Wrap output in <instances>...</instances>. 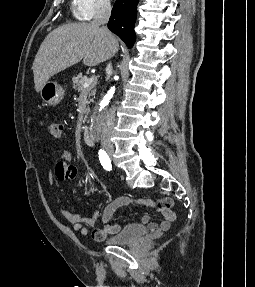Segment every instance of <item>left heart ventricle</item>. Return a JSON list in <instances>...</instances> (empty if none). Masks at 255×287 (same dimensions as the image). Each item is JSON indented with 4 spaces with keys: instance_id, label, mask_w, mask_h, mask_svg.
<instances>
[{
    "instance_id": "1",
    "label": "left heart ventricle",
    "mask_w": 255,
    "mask_h": 287,
    "mask_svg": "<svg viewBox=\"0 0 255 287\" xmlns=\"http://www.w3.org/2000/svg\"><path fill=\"white\" fill-rule=\"evenodd\" d=\"M93 33H102V32H93ZM91 39H103V38H91ZM88 48H100V47H88ZM112 48V47H110Z\"/></svg>"
}]
</instances>
